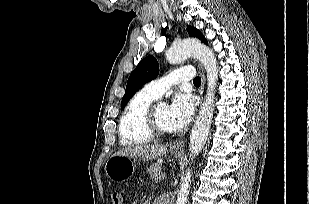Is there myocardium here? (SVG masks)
I'll list each match as a JSON object with an SVG mask.
<instances>
[{
  "mask_svg": "<svg viewBox=\"0 0 309 204\" xmlns=\"http://www.w3.org/2000/svg\"><path fill=\"white\" fill-rule=\"evenodd\" d=\"M158 105L159 103H152L146 110L144 115L145 128L153 137L169 136L173 133V131L163 129L157 121L156 112Z\"/></svg>",
  "mask_w": 309,
  "mask_h": 204,
  "instance_id": "obj_1",
  "label": "myocardium"
}]
</instances>
